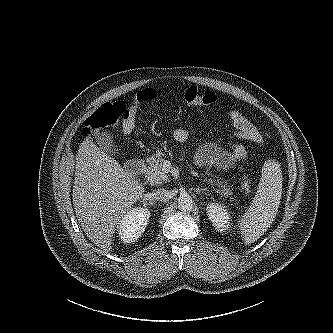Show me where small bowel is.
<instances>
[{"mask_svg": "<svg viewBox=\"0 0 333 333\" xmlns=\"http://www.w3.org/2000/svg\"><path fill=\"white\" fill-rule=\"evenodd\" d=\"M228 126L232 130L233 142L231 151L225 150L215 143H203L196 152L195 160L199 166H215L220 169H230L238 161L247 158L248 153L239 140H248L257 145L264 143V138L258 128L240 111L227 110ZM173 137L180 143L187 142L189 132L185 128H177Z\"/></svg>", "mask_w": 333, "mask_h": 333, "instance_id": "small-bowel-1", "label": "small bowel"}]
</instances>
